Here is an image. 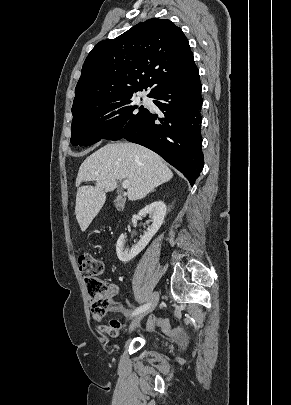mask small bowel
Listing matches in <instances>:
<instances>
[{"label":"small bowel","instance_id":"c3829d8e","mask_svg":"<svg viewBox=\"0 0 291 405\" xmlns=\"http://www.w3.org/2000/svg\"><path fill=\"white\" fill-rule=\"evenodd\" d=\"M118 287L114 284L110 285L109 298L111 301L110 310L113 312H119L125 317H129L131 310L126 307L117 297ZM94 319L97 323L98 330L101 333L107 334L110 337H117L122 329V324L117 320H111L108 325L102 323V317L94 315ZM155 327L153 318H149L146 324V330L150 331Z\"/></svg>","mask_w":291,"mask_h":405}]
</instances>
